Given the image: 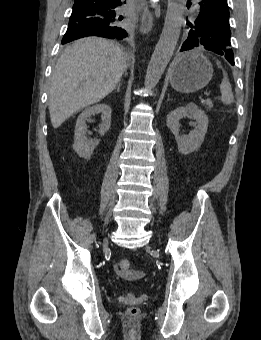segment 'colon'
Wrapping results in <instances>:
<instances>
[{"instance_id":"5ec220e1","label":"colon","mask_w":261,"mask_h":340,"mask_svg":"<svg viewBox=\"0 0 261 340\" xmlns=\"http://www.w3.org/2000/svg\"><path fill=\"white\" fill-rule=\"evenodd\" d=\"M131 269V262L128 259H121L115 264V271L117 274L126 275ZM129 314L135 316L138 314V309L132 307L128 310Z\"/></svg>"}]
</instances>
